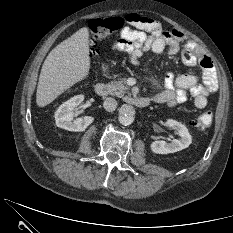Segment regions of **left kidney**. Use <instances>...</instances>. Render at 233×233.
<instances>
[{
  "instance_id": "5707ae66",
  "label": "left kidney",
  "mask_w": 233,
  "mask_h": 233,
  "mask_svg": "<svg viewBox=\"0 0 233 233\" xmlns=\"http://www.w3.org/2000/svg\"><path fill=\"white\" fill-rule=\"evenodd\" d=\"M166 125L174 129L180 136V139H173L170 143L165 141H154L151 143V150L156 154H169L187 148L191 142L192 137L185 125L182 123L169 119Z\"/></svg>"
}]
</instances>
